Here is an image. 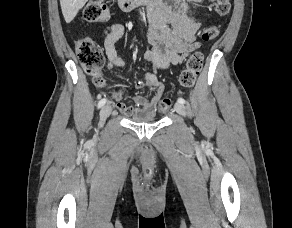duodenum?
I'll return each instance as SVG.
<instances>
[{"mask_svg":"<svg viewBox=\"0 0 292 228\" xmlns=\"http://www.w3.org/2000/svg\"><path fill=\"white\" fill-rule=\"evenodd\" d=\"M159 0H118V4L123 11H131L137 7L155 6Z\"/></svg>","mask_w":292,"mask_h":228,"instance_id":"1","label":"duodenum"}]
</instances>
